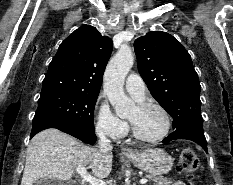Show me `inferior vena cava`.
I'll list each match as a JSON object with an SVG mask.
<instances>
[{
	"label": "inferior vena cava",
	"mask_w": 233,
	"mask_h": 185,
	"mask_svg": "<svg viewBox=\"0 0 233 185\" xmlns=\"http://www.w3.org/2000/svg\"><path fill=\"white\" fill-rule=\"evenodd\" d=\"M99 149L103 153L111 152L112 145L111 141L106 137V135L102 132L99 133Z\"/></svg>",
	"instance_id": "602c4592"
}]
</instances>
